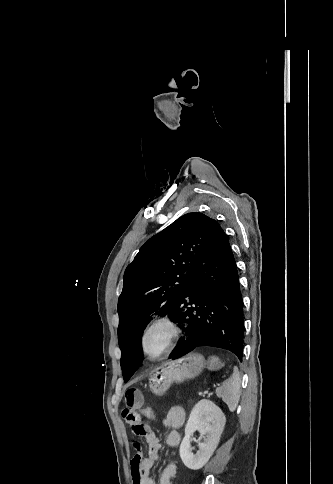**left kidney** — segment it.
<instances>
[{"label":"left kidney","instance_id":"obj_1","mask_svg":"<svg viewBox=\"0 0 333 484\" xmlns=\"http://www.w3.org/2000/svg\"><path fill=\"white\" fill-rule=\"evenodd\" d=\"M226 418L222 410L208 399L200 400L192 409L185 427V437L180 445V457L186 467L192 470L202 468L218 446ZM199 431L204 438L198 442L199 450L192 453L191 436Z\"/></svg>","mask_w":333,"mask_h":484}]
</instances>
